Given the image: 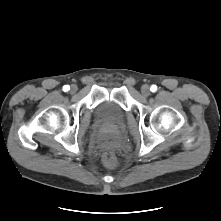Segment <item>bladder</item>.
Here are the masks:
<instances>
[{
	"label": "bladder",
	"mask_w": 221,
	"mask_h": 221,
	"mask_svg": "<svg viewBox=\"0 0 221 221\" xmlns=\"http://www.w3.org/2000/svg\"><path fill=\"white\" fill-rule=\"evenodd\" d=\"M95 116L100 125L121 129L126 121V112L116 103L101 102L95 110Z\"/></svg>",
	"instance_id": "31cf9c89"
}]
</instances>
